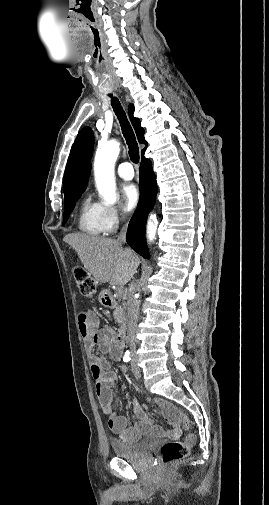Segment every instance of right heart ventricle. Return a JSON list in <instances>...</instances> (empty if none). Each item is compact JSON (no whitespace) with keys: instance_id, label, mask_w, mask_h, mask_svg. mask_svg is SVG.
<instances>
[{"instance_id":"1","label":"right heart ventricle","mask_w":269,"mask_h":505,"mask_svg":"<svg viewBox=\"0 0 269 505\" xmlns=\"http://www.w3.org/2000/svg\"><path fill=\"white\" fill-rule=\"evenodd\" d=\"M78 227L90 235H104L107 231L102 218V205L85 197L80 205Z\"/></svg>"}]
</instances>
